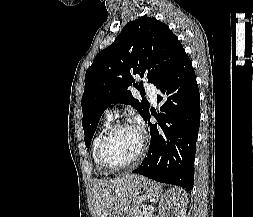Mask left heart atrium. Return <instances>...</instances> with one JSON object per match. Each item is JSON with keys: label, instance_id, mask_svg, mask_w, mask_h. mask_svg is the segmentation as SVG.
<instances>
[{"label": "left heart atrium", "instance_id": "39dd6f15", "mask_svg": "<svg viewBox=\"0 0 253 217\" xmlns=\"http://www.w3.org/2000/svg\"><path fill=\"white\" fill-rule=\"evenodd\" d=\"M140 126H141L140 121H139V120H136V127H137V128H140Z\"/></svg>", "mask_w": 253, "mask_h": 217}]
</instances>
